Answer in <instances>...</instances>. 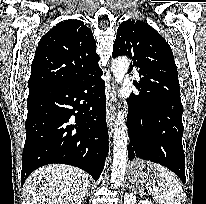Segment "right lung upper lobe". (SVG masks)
<instances>
[{
	"instance_id": "obj_1",
	"label": "right lung upper lobe",
	"mask_w": 206,
	"mask_h": 204,
	"mask_svg": "<svg viewBox=\"0 0 206 204\" xmlns=\"http://www.w3.org/2000/svg\"><path fill=\"white\" fill-rule=\"evenodd\" d=\"M98 61L92 31L80 20L62 21L38 43L29 92L76 82L98 68Z\"/></svg>"
}]
</instances>
